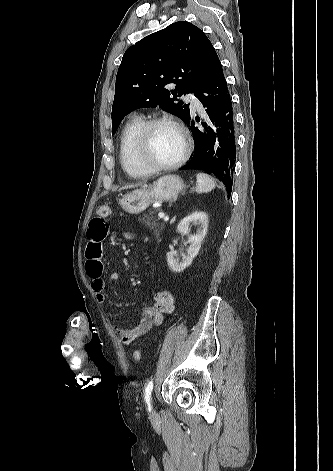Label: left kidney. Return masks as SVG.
Here are the masks:
<instances>
[{
  "instance_id": "1",
  "label": "left kidney",
  "mask_w": 333,
  "mask_h": 471,
  "mask_svg": "<svg viewBox=\"0 0 333 471\" xmlns=\"http://www.w3.org/2000/svg\"><path fill=\"white\" fill-rule=\"evenodd\" d=\"M192 224L198 227L197 234L189 238L188 242L190 243V247H189V250L187 251V255L183 257V261L182 262L178 261L176 251L172 250L167 253V262L170 269L173 272H176V273L182 272L186 267L191 265L193 259L198 254L201 247V242L204 239L207 232V227H208L207 214L202 211H197V212L192 213L189 216H186L180 221L177 227V230L179 233H186L189 231V227Z\"/></svg>"
}]
</instances>
